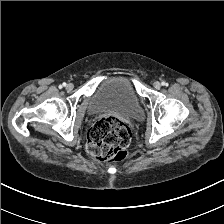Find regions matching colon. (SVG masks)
I'll return each instance as SVG.
<instances>
[{
    "label": "colon",
    "mask_w": 224,
    "mask_h": 224,
    "mask_svg": "<svg viewBox=\"0 0 224 224\" xmlns=\"http://www.w3.org/2000/svg\"><path fill=\"white\" fill-rule=\"evenodd\" d=\"M131 129L117 117L99 118L89 131L87 151L101 162H118L126 158Z\"/></svg>",
    "instance_id": "5ec220e1"
}]
</instances>
